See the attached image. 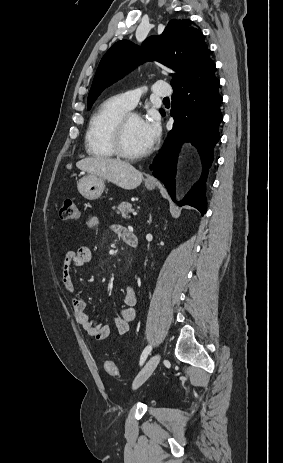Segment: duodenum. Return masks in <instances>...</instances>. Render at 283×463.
Here are the masks:
<instances>
[{"instance_id":"1","label":"duodenum","mask_w":283,"mask_h":463,"mask_svg":"<svg viewBox=\"0 0 283 463\" xmlns=\"http://www.w3.org/2000/svg\"><path fill=\"white\" fill-rule=\"evenodd\" d=\"M124 241L131 247L135 248L138 245V238L135 233L127 232L124 236Z\"/></svg>"}]
</instances>
